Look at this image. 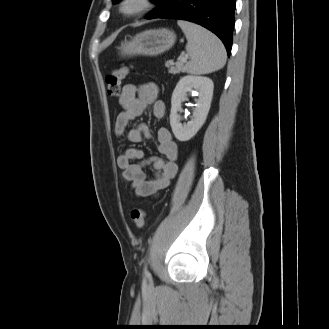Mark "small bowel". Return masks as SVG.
I'll return each instance as SVG.
<instances>
[{"label":"small bowel","mask_w":329,"mask_h":329,"mask_svg":"<svg viewBox=\"0 0 329 329\" xmlns=\"http://www.w3.org/2000/svg\"><path fill=\"white\" fill-rule=\"evenodd\" d=\"M160 89L155 82L139 85L126 84L119 96V104L123 108L116 118L114 134L122 137L126 134L130 143H140L151 137L149 127L145 123L128 128L130 122L142 116L149 108L156 119L166 116V106L159 100ZM158 151L161 157L145 159L144 151L138 148H126L117 158V166L122 171V177L129 183L138 197L155 195L168 185L176 175L178 166V146L168 128L157 130ZM152 166L155 175L149 178L145 168Z\"/></svg>","instance_id":"small-bowel-1"}]
</instances>
